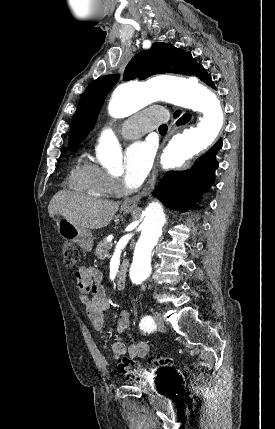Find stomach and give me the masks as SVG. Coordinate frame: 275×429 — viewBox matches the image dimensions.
<instances>
[{
	"instance_id": "stomach-1",
	"label": "stomach",
	"mask_w": 275,
	"mask_h": 429,
	"mask_svg": "<svg viewBox=\"0 0 275 429\" xmlns=\"http://www.w3.org/2000/svg\"><path fill=\"white\" fill-rule=\"evenodd\" d=\"M123 210L129 213L133 211L134 208H123ZM56 229L62 238L77 243L86 251L92 250L94 237L90 230L75 226L63 216L57 218Z\"/></svg>"
}]
</instances>
